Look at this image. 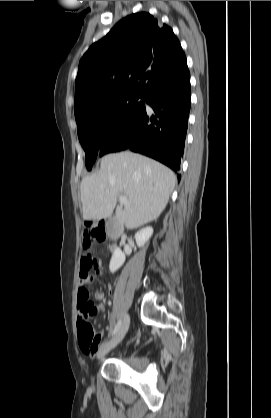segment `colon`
I'll use <instances>...</instances> for the list:
<instances>
[{"instance_id":"obj_1","label":"colon","mask_w":271,"mask_h":418,"mask_svg":"<svg viewBox=\"0 0 271 418\" xmlns=\"http://www.w3.org/2000/svg\"><path fill=\"white\" fill-rule=\"evenodd\" d=\"M106 238V224L104 222L90 223L84 233V250L86 251V257L89 259V266L93 267L96 262L92 258L91 254L96 244L101 243ZM95 315V314H94ZM78 337L79 343L82 349L90 350L95 348L99 341V337L95 334L91 323H79L78 322Z\"/></svg>"}]
</instances>
